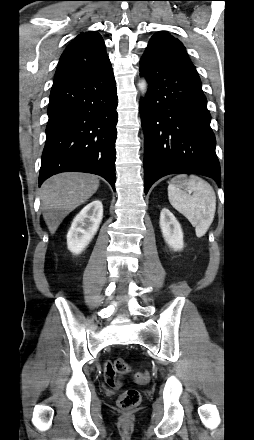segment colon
I'll list each match as a JSON object with an SVG mask.
<instances>
[{"label": "colon", "instance_id": "1", "mask_svg": "<svg viewBox=\"0 0 254 440\" xmlns=\"http://www.w3.org/2000/svg\"><path fill=\"white\" fill-rule=\"evenodd\" d=\"M112 369L118 375H125L130 371V366L125 359L118 358L114 360ZM135 379L138 383H146L149 378L147 374H137ZM123 384L124 379L122 378L115 383L117 386H122ZM140 400L141 397L137 390L128 389L119 397L118 405L123 410H130L137 407L140 404Z\"/></svg>", "mask_w": 254, "mask_h": 440}]
</instances>
